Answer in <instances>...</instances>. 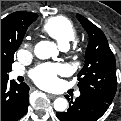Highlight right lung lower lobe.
Here are the masks:
<instances>
[{
  "label": "right lung lower lobe",
  "mask_w": 121,
  "mask_h": 121,
  "mask_svg": "<svg viewBox=\"0 0 121 121\" xmlns=\"http://www.w3.org/2000/svg\"><path fill=\"white\" fill-rule=\"evenodd\" d=\"M8 80L1 79V121H17L28 109L29 87Z\"/></svg>",
  "instance_id": "obj_1"
}]
</instances>
